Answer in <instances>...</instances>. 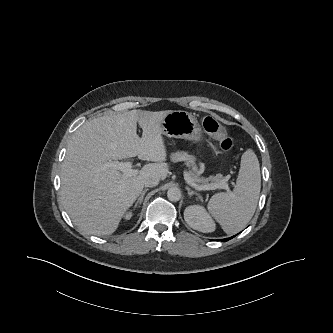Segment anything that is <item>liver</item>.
<instances>
[{"label":"liver","instance_id":"1","mask_svg":"<svg viewBox=\"0 0 333 333\" xmlns=\"http://www.w3.org/2000/svg\"><path fill=\"white\" fill-rule=\"evenodd\" d=\"M171 110H131L85 122L68 143L61 170V197L73 223L96 236L116 231L147 178L166 179L169 169L161 126ZM137 122L143 130L137 135ZM138 156L152 161L126 176L105 163Z\"/></svg>","mask_w":333,"mask_h":333}]
</instances>
